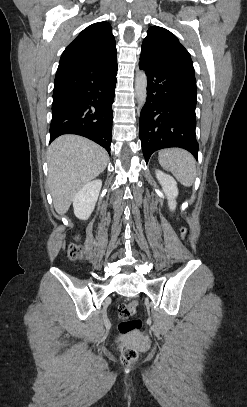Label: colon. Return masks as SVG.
<instances>
[{
    "mask_svg": "<svg viewBox=\"0 0 247 407\" xmlns=\"http://www.w3.org/2000/svg\"><path fill=\"white\" fill-rule=\"evenodd\" d=\"M182 233L185 234L186 230L183 229ZM68 256L73 259H80L83 256V249L77 243H72L68 249ZM138 307V302L133 300L128 303H122L118 306L116 311V319L118 321V329L121 333L127 334L140 330L141 321L135 319ZM121 361L125 365L133 364L138 358L137 350L128 344L120 346Z\"/></svg>",
    "mask_w": 247,
    "mask_h": 407,
    "instance_id": "colon-1",
    "label": "colon"
}]
</instances>
